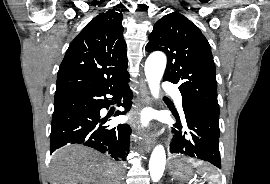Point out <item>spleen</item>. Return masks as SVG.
I'll return each instance as SVG.
<instances>
[{"instance_id":"spleen-1","label":"spleen","mask_w":270,"mask_h":184,"mask_svg":"<svg viewBox=\"0 0 270 184\" xmlns=\"http://www.w3.org/2000/svg\"><path fill=\"white\" fill-rule=\"evenodd\" d=\"M194 165L198 168L203 177L210 181L209 184H220L219 175L215 174L209 166L205 165L201 161L196 162Z\"/></svg>"}]
</instances>
